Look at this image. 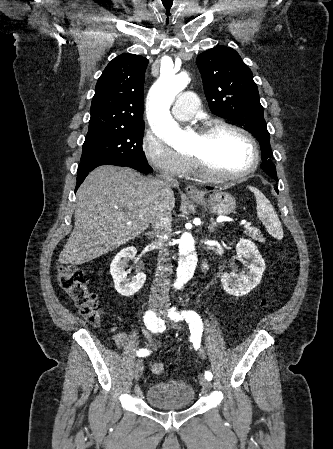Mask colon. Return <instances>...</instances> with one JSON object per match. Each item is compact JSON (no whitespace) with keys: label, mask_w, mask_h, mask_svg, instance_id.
Listing matches in <instances>:
<instances>
[{"label":"colon","mask_w":333,"mask_h":449,"mask_svg":"<svg viewBox=\"0 0 333 449\" xmlns=\"http://www.w3.org/2000/svg\"><path fill=\"white\" fill-rule=\"evenodd\" d=\"M57 280L60 288L70 296L81 315L92 325H98L101 319V308L95 294L88 289L85 272L71 265H60ZM274 302V299L262 300L261 305L268 308ZM164 369L161 362H154L151 365V371L154 374H162Z\"/></svg>","instance_id":"5ec220e1"}]
</instances>
